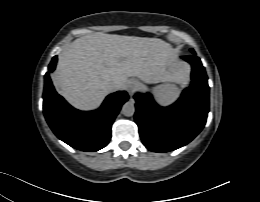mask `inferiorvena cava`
<instances>
[{
	"instance_id": "602c4592",
	"label": "inferior vena cava",
	"mask_w": 260,
	"mask_h": 202,
	"mask_svg": "<svg viewBox=\"0 0 260 202\" xmlns=\"http://www.w3.org/2000/svg\"><path fill=\"white\" fill-rule=\"evenodd\" d=\"M110 85L113 90L118 89V87L120 86L119 83L116 81L111 82Z\"/></svg>"
}]
</instances>
